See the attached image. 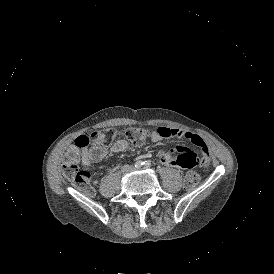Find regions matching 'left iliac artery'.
<instances>
[{
	"label": "left iliac artery",
	"mask_w": 274,
	"mask_h": 274,
	"mask_svg": "<svg viewBox=\"0 0 274 274\" xmlns=\"http://www.w3.org/2000/svg\"><path fill=\"white\" fill-rule=\"evenodd\" d=\"M144 166H145L146 168H150V167H151L150 161H145V162H144Z\"/></svg>",
	"instance_id": "obj_1"
}]
</instances>
